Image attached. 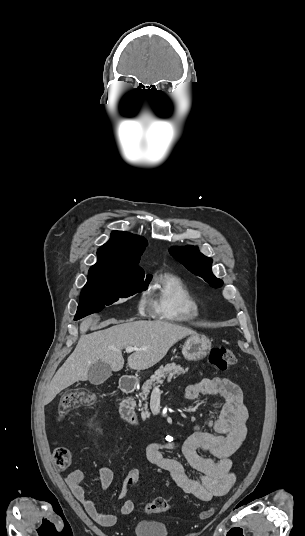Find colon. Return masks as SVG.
<instances>
[{
    "label": "colon",
    "mask_w": 305,
    "mask_h": 536,
    "mask_svg": "<svg viewBox=\"0 0 305 536\" xmlns=\"http://www.w3.org/2000/svg\"><path fill=\"white\" fill-rule=\"evenodd\" d=\"M236 358L233 352L225 346L213 347L209 353V362L216 366L218 369L224 370L234 364ZM96 401V396L93 392L86 389H71L67 390L61 397L58 413L60 416L68 415L73 409L81 405H92ZM53 459L55 463L61 466L62 471H75V460H69L70 454L66 446L60 445L53 451ZM140 471L138 468L133 467L130 469L129 474L126 475L125 480L128 485L133 486L138 481ZM170 509L168 501L164 498L158 497L145 506V511L148 513H163ZM214 513L213 508L200 512L199 517L202 520L210 518Z\"/></svg>",
    "instance_id": "obj_1"
}]
</instances>
